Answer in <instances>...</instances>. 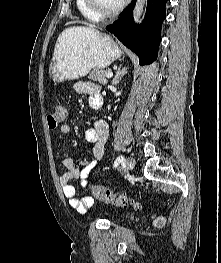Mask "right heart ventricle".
I'll use <instances>...</instances> for the list:
<instances>
[{
    "instance_id": "right-heart-ventricle-1",
    "label": "right heart ventricle",
    "mask_w": 221,
    "mask_h": 263,
    "mask_svg": "<svg viewBox=\"0 0 221 263\" xmlns=\"http://www.w3.org/2000/svg\"><path fill=\"white\" fill-rule=\"evenodd\" d=\"M76 6L80 14L86 19L90 21H99L101 19L88 9L85 0H76Z\"/></svg>"
}]
</instances>
